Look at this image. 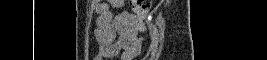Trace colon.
<instances>
[{
    "label": "colon",
    "instance_id": "1",
    "mask_svg": "<svg viewBox=\"0 0 267 60\" xmlns=\"http://www.w3.org/2000/svg\"><path fill=\"white\" fill-rule=\"evenodd\" d=\"M129 2L133 5L134 11L137 13L138 23L146 16L150 9V1L148 0H129Z\"/></svg>",
    "mask_w": 267,
    "mask_h": 60
}]
</instances>
